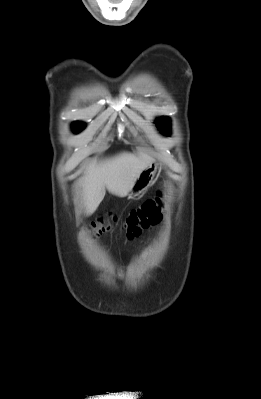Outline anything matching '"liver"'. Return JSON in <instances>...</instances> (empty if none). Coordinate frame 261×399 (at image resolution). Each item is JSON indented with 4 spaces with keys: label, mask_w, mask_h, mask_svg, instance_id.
Masks as SVG:
<instances>
[{
    "label": "liver",
    "mask_w": 261,
    "mask_h": 399,
    "mask_svg": "<svg viewBox=\"0 0 261 399\" xmlns=\"http://www.w3.org/2000/svg\"><path fill=\"white\" fill-rule=\"evenodd\" d=\"M153 162L154 158L150 155L127 152L92 161L86 167L81 181L86 214L91 215L96 211L106 189L118 197L128 195L141 172Z\"/></svg>",
    "instance_id": "1"
}]
</instances>
